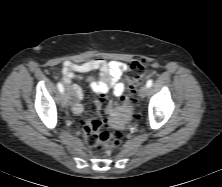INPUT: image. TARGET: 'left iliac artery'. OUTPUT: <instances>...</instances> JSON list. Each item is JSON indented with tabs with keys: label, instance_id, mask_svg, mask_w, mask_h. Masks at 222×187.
Listing matches in <instances>:
<instances>
[{
	"label": "left iliac artery",
	"instance_id": "left-iliac-artery-1",
	"mask_svg": "<svg viewBox=\"0 0 222 187\" xmlns=\"http://www.w3.org/2000/svg\"><path fill=\"white\" fill-rule=\"evenodd\" d=\"M152 84H153V81H152L151 79L148 80L147 83H146V85H147L148 88L151 87Z\"/></svg>",
	"mask_w": 222,
	"mask_h": 187
}]
</instances>
